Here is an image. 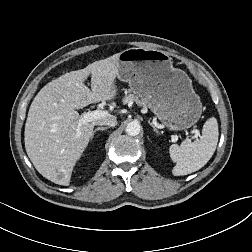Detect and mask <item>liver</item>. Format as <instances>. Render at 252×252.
Returning a JSON list of instances; mask_svg holds the SVG:
<instances>
[{
    "label": "liver",
    "mask_w": 252,
    "mask_h": 252,
    "mask_svg": "<svg viewBox=\"0 0 252 252\" xmlns=\"http://www.w3.org/2000/svg\"><path fill=\"white\" fill-rule=\"evenodd\" d=\"M118 54L71 71L46 84L29 108L24 141L28 157L46 179L68 186L73 168L105 117L79 125L76 109L117 95ZM91 75V90L84 81Z\"/></svg>",
    "instance_id": "1"
}]
</instances>
